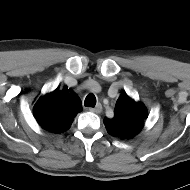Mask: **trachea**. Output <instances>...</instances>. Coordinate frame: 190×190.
<instances>
[{"label":"trachea","mask_w":190,"mask_h":190,"mask_svg":"<svg viewBox=\"0 0 190 190\" xmlns=\"http://www.w3.org/2000/svg\"><path fill=\"white\" fill-rule=\"evenodd\" d=\"M84 105L86 107H95L96 105V97L94 94L90 93L86 96Z\"/></svg>","instance_id":"1"}]
</instances>
